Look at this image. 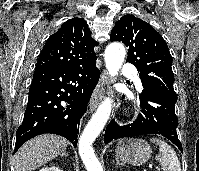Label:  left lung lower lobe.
I'll list each match as a JSON object with an SVG mask.
<instances>
[{
	"mask_svg": "<svg viewBox=\"0 0 199 171\" xmlns=\"http://www.w3.org/2000/svg\"><path fill=\"white\" fill-rule=\"evenodd\" d=\"M176 101L177 97L154 88L144 87L140 94L143 115L140 114L132 124L125 126H120L115 120H112L106 128L104 142L109 143L113 139L145 134L161 135L169 139L183 152L176 131L178 126L175 114Z\"/></svg>",
	"mask_w": 199,
	"mask_h": 171,
	"instance_id": "1",
	"label": "left lung lower lobe"
}]
</instances>
